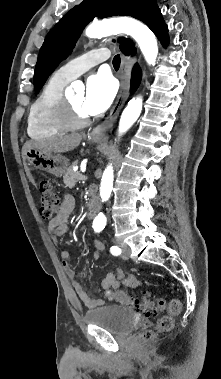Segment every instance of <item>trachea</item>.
I'll use <instances>...</instances> for the list:
<instances>
[{
  "label": "trachea",
  "instance_id": "obj_1",
  "mask_svg": "<svg viewBox=\"0 0 221 379\" xmlns=\"http://www.w3.org/2000/svg\"><path fill=\"white\" fill-rule=\"evenodd\" d=\"M120 66V55H116L114 58H113V67L115 69H118Z\"/></svg>",
  "mask_w": 221,
  "mask_h": 379
}]
</instances>
